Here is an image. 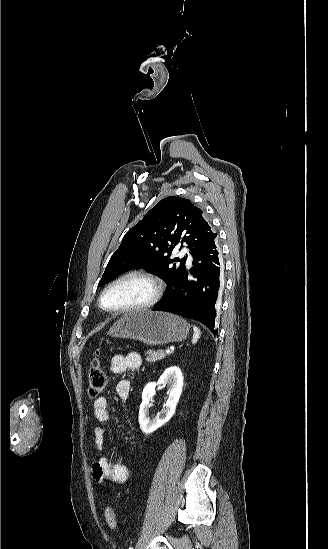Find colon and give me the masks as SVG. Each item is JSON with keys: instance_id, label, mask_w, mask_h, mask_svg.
Wrapping results in <instances>:
<instances>
[{"instance_id": "obj_1", "label": "colon", "mask_w": 328, "mask_h": 549, "mask_svg": "<svg viewBox=\"0 0 328 549\" xmlns=\"http://www.w3.org/2000/svg\"><path fill=\"white\" fill-rule=\"evenodd\" d=\"M100 351L96 352V357L91 363L88 374V395L90 398L98 397L106 386V376L101 367ZM105 521L109 528L113 529L117 524V516L114 506L108 505L105 508Z\"/></svg>"}]
</instances>
